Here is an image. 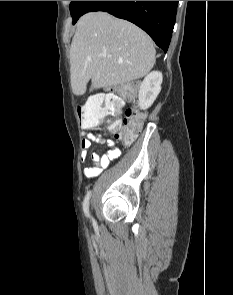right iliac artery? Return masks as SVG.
<instances>
[{"instance_id":"82829eb1","label":"right iliac artery","mask_w":233,"mask_h":295,"mask_svg":"<svg viewBox=\"0 0 233 295\" xmlns=\"http://www.w3.org/2000/svg\"><path fill=\"white\" fill-rule=\"evenodd\" d=\"M91 197V191L87 192L83 201V211L87 217H89V201Z\"/></svg>"}]
</instances>
